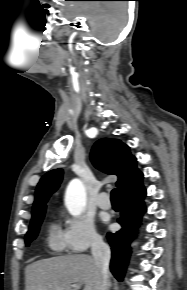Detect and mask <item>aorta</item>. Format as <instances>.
Segmentation results:
<instances>
[{
    "instance_id": "1",
    "label": "aorta",
    "mask_w": 187,
    "mask_h": 290,
    "mask_svg": "<svg viewBox=\"0 0 187 290\" xmlns=\"http://www.w3.org/2000/svg\"><path fill=\"white\" fill-rule=\"evenodd\" d=\"M65 205L69 213L79 216L86 206V190L81 180L73 179L67 186Z\"/></svg>"
}]
</instances>
